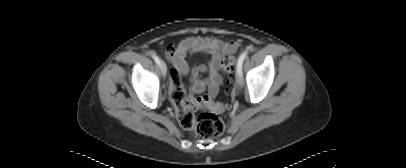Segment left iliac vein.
Segmentation results:
<instances>
[{
  "label": "left iliac vein",
  "instance_id": "1",
  "mask_svg": "<svg viewBox=\"0 0 406 168\" xmlns=\"http://www.w3.org/2000/svg\"><path fill=\"white\" fill-rule=\"evenodd\" d=\"M235 79H236V83H237V85L238 86H242L243 85V76H242V73H236V76H235Z\"/></svg>",
  "mask_w": 406,
  "mask_h": 168
}]
</instances>
